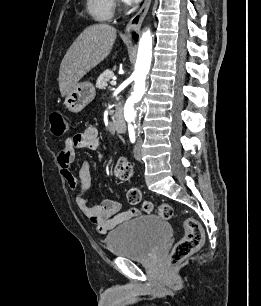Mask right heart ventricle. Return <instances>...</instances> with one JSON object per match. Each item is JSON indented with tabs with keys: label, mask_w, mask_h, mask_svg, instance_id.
Masks as SVG:
<instances>
[{
	"label": "right heart ventricle",
	"mask_w": 261,
	"mask_h": 306,
	"mask_svg": "<svg viewBox=\"0 0 261 306\" xmlns=\"http://www.w3.org/2000/svg\"><path fill=\"white\" fill-rule=\"evenodd\" d=\"M87 10L96 20L105 22L112 18L114 0H87Z\"/></svg>",
	"instance_id": "1"
}]
</instances>
